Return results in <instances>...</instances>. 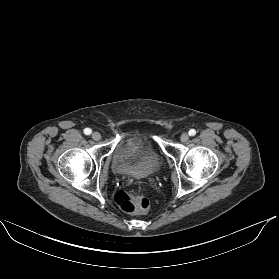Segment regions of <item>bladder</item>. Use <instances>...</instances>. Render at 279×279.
I'll list each match as a JSON object with an SVG mask.
<instances>
[{"instance_id":"31cf9c89","label":"bladder","mask_w":279,"mask_h":279,"mask_svg":"<svg viewBox=\"0 0 279 279\" xmlns=\"http://www.w3.org/2000/svg\"><path fill=\"white\" fill-rule=\"evenodd\" d=\"M111 157L117 170L128 177L144 178L156 173L161 167L159 156L150 148L141 151L133 138L123 140Z\"/></svg>"}]
</instances>
